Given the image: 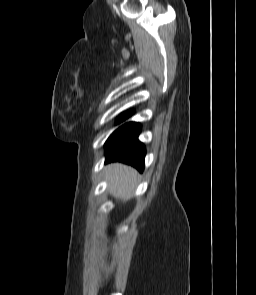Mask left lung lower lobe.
I'll return each mask as SVG.
<instances>
[{
	"instance_id": "1",
	"label": "left lung lower lobe",
	"mask_w": 256,
	"mask_h": 295,
	"mask_svg": "<svg viewBox=\"0 0 256 295\" xmlns=\"http://www.w3.org/2000/svg\"><path fill=\"white\" fill-rule=\"evenodd\" d=\"M140 125L129 122L115 130L105 143L106 162H122L143 171L145 147L138 140Z\"/></svg>"
}]
</instances>
